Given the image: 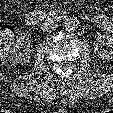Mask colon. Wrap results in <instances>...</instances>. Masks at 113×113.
I'll return each mask as SVG.
<instances>
[{
	"mask_svg": "<svg viewBox=\"0 0 113 113\" xmlns=\"http://www.w3.org/2000/svg\"><path fill=\"white\" fill-rule=\"evenodd\" d=\"M12 38V31L7 27L0 26V60L4 57Z\"/></svg>",
	"mask_w": 113,
	"mask_h": 113,
	"instance_id": "colon-1",
	"label": "colon"
}]
</instances>
